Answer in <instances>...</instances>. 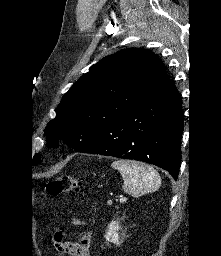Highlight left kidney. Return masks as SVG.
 I'll return each mask as SVG.
<instances>
[{"mask_svg":"<svg viewBox=\"0 0 221 256\" xmlns=\"http://www.w3.org/2000/svg\"><path fill=\"white\" fill-rule=\"evenodd\" d=\"M119 229H120L119 222L112 221L108 226V231L105 235V239L108 242L114 243L116 245H120L121 242L119 240V233H118Z\"/></svg>","mask_w":221,"mask_h":256,"instance_id":"5707ae66","label":"left kidney"}]
</instances>
